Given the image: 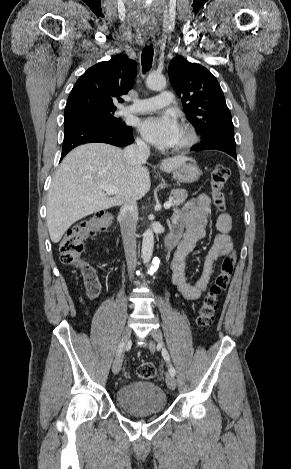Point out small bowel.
Returning <instances> with one entry per match:
<instances>
[{"label":"small bowel","mask_w":291,"mask_h":469,"mask_svg":"<svg viewBox=\"0 0 291 469\" xmlns=\"http://www.w3.org/2000/svg\"><path fill=\"white\" fill-rule=\"evenodd\" d=\"M211 214V202L207 195L203 194L186 203L183 209L172 218V228L180 235L185 229V234L175 255L171 261L172 281L180 294L187 300H197L206 290L216 260L225 256L233 248L229 235L231 218L227 213L219 215L216 227L218 233L214 237L212 246L205 256L203 269L199 279L191 283L186 275V260L195 248L197 242L205 237L208 220ZM86 289L96 288L98 294L100 283L93 272V277L84 278Z\"/></svg>","instance_id":"1"}]
</instances>
